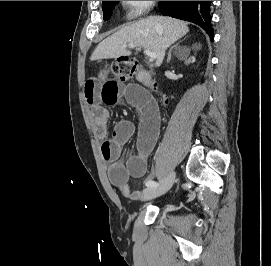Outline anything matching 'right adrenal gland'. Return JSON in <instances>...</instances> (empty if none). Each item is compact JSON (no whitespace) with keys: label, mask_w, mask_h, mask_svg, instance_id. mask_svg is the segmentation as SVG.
Returning <instances> with one entry per match:
<instances>
[{"label":"right adrenal gland","mask_w":271,"mask_h":266,"mask_svg":"<svg viewBox=\"0 0 271 266\" xmlns=\"http://www.w3.org/2000/svg\"><path fill=\"white\" fill-rule=\"evenodd\" d=\"M180 42H181V41H180ZM180 42H178L175 46H173V47L169 50L168 58H167V63H169L170 60H171V52H172L173 48L177 47L178 44H179Z\"/></svg>","instance_id":"right-adrenal-gland-1"}]
</instances>
